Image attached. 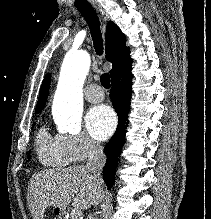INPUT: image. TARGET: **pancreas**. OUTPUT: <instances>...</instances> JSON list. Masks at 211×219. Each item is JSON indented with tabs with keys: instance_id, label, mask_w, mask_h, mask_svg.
<instances>
[{
	"instance_id": "obj_1",
	"label": "pancreas",
	"mask_w": 211,
	"mask_h": 219,
	"mask_svg": "<svg viewBox=\"0 0 211 219\" xmlns=\"http://www.w3.org/2000/svg\"><path fill=\"white\" fill-rule=\"evenodd\" d=\"M70 219H75L74 217H70Z\"/></svg>"
}]
</instances>
